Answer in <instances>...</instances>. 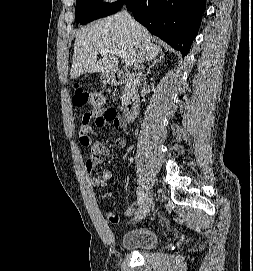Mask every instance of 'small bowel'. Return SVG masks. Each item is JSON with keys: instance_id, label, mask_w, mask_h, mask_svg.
I'll return each mask as SVG.
<instances>
[{"instance_id": "obj_1", "label": "small bowel", "mask_w": 253, "mask_h": 271, "mask_svg": "<svg viewBox=\"0 0 253 271\" xmlns=\"http://www.w3.org/2000/svg\"><path fill=\"white\" fill-rule=\"evenodd\" d=\"M92 121H94L96 126L100 128L105 127L107 123L110 122L104 118L103 114L85 113L81 118L79 141L83 146H90V154L84 161L85 170L89 175H92L96 167L103 163L105 158L111 154L110 148L103 141L92 140ZM112 123L117 130L128 134V127L119 119ZM115 145L118 148H126L128 145V140L126 138L119 137L115 140ZM111 177L112 173L110 170L102 169L97 176L91 178V184L96 188H104ZM134 209V205L125 207L123 210V215L126 217L132 215ZM107 216L111 222L115 223L119 220V215L115 212H108Z\"/></svg>"}]
</instances>
